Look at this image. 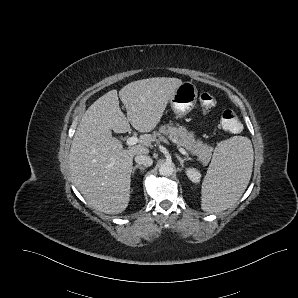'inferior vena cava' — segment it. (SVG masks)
<instances>
[{
    "mask_svg": "<svg viewBox=\"0 0 298 298\" xmlns=\"http://www.w3.org/2000/svg\"><path fill=\"white\" fill-rule=\"evenodd\" d=\"M134 159H135V162L138 163L139 165L150 167L153 164L152 158L147 155H137L135 156Z\"/></svg>",
    "mask_w": 298,
    "mask_h": 298,
    "instance_id": "602c4592",
    "label": "inferior vena cava"
}]
</instances>
